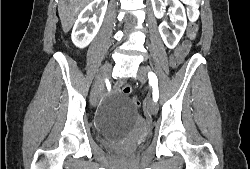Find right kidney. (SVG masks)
I'll return each instance as SVG.
<instances>
[{"label": "right kidney", "mask_w": 250, "mask_h": 169, "mask_svg": "<svg viewBox=\"0 0 250 169\" xmlns=\"http://www.w3.org/2000/svg\"><path fill=\"white\" fill-rule=\"evenodd\" d=\"M107 4L108 0H92V2H89V4L81 10L80 14H78L71 34V38L76 46L84 48V46H87V44L93 40L94 36H96L103 22ZM93 8H96V10L92 18H89V14L93 12Z\"/></svg>", "instance_id": "obj_1"}]
</instances>
